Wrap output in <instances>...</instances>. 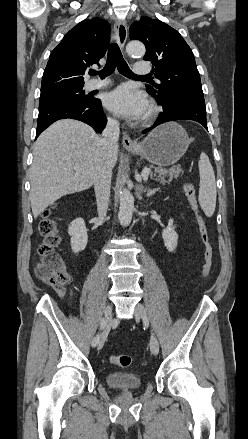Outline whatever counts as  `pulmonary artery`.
I'll return each instance as SVG.
<instances>
[{
  "instance_id": "e3ab8cb5",
  "label": "pulmonary artery",
  "mask_w": 248,
  "mask_h": 439,
  "mask_svg": "<svg viewBox=\"0 0 248 439\" xmlns=\"http://www.w3.org/2000/svg\"><path fill=\"white\" fill-rule=\"evenodd\" d=\"M151 71L150 65L146 61H139L135 64L134 74L138 76H147ZM109 80H91L88 82V89L95 90L108 86Z\"/></svg>"
}]
</instances>
